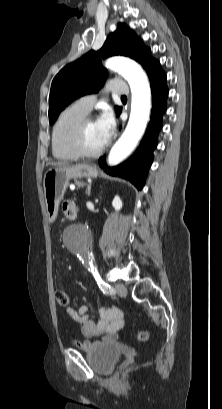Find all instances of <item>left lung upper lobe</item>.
I'll list each match as a JSON object with an SVG mask.
<instances>
[{
  "mask_svg": "<svg viewBox=\"0 0 222 409\" xmlns=\"http://www.w3.org/2000/svg\"><path fill=\"white\" fill-rule=\"evenodd\" d=\"M124 55L139 62L149 78L162 71L159 61L151 58L149 48L126 24H118L117 30L108 36L103 47L90 51L76 61L63 67L53 79L50 90L49 121L53 124L58 114L74 99L95 93L107 76L101 59ZM117 114L121 110L116 107Z\"/></svg>",
  "mask_w": 222,
  "mask_h": 409,
  "instance_id": "5c2ea615",
  "label": "left lung upper lobe"
}]
</instances>
